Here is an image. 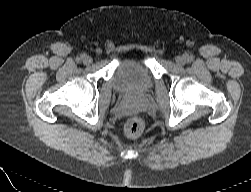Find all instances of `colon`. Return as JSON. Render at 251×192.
<instances>
[{
	"label": "colon",
	"instance_id": "5ec220e1",
	"mask_svg": "<svg viewBox=\"0 0 251 192\" xmlns=\"http://www.w3.org/2000/svg\"><path fill=\"white\" fill-rule=\"evenodd\" d=\"M144 125L140 118L132 117L127 120L124 131L125 135L129 138H136L143 132Z\"/></svg>",
	"mask_w": 251,
	"mask_h": 192
}]
</instances>
